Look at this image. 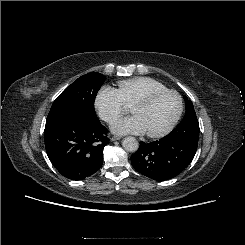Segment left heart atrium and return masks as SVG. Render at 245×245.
<instances>
[{
	"label": "left heart atrium",
	"mask_w": 245,
	"mask_h": 245,
	"mask_svg": "<svg viewBox=\"0 0 245 245\" xmlns=\"http://www.w3.org/2000/svg\"><path fill=\"white\" fill-rule=\"evenodd\" d=\"M112 131L119 134H143L145 129L137 116L117 120L113 126Z\"/></svg>",
	"instance_id": "left-heart-atrium-1"
}]
</instances>
